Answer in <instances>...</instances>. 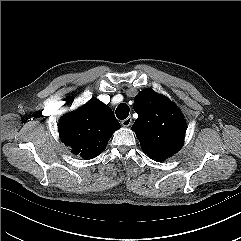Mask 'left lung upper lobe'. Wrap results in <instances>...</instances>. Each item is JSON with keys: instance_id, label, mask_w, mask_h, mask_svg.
<instances>
[{"instance_id": "1", "label": "left lung upper lobe", "mask_w": 241, "mask_h": 241, "mask_svg": "<svg viewBox=\"0 0 241 241\" xmlns=\"http://www.w3.org/2000/svg\"><path fill=\"white\" fill-rule=\"evenodd\" d=\"M134 110L138 118L132 130L149 158L163 161L181 148L186 123L171 101L152 89H145L135 97Z\"/></svg>"}]
</instances>
